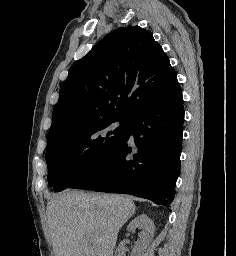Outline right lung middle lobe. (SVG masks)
I'll return each instance as SVG.
<instances>
[{
  "instance_id": "obj_1",
  "label": "right lung middle lobe",
  "mask_w": 236,
  "mask_h": 256,
  "mask_svg": "<svg viewBox=\"0 0 236 256\" xmlns=\"http://www.w3.org/2000/svg\"><path fill=\"white\" fill-rule=\"evenodd\" d=\"M129 118L81 123L47 138L48 184L62 191L112 153L129 130ZM118 122L117 125L115 123Z\"/></svg>"
}]
</instances>
